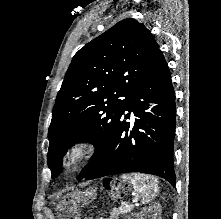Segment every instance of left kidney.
I'll return each mask as SVG.
<instances>
[{"label":"left kidney","instance_id":"left-kidney-1","mask_svg":"<svg viewBox=\"0 0 221 219\" xmlns=\"http://www.w3.org/2000/svg\"><path fill=\"white\" fill-rule=\"evenodd\" d=\"M161 209L159 204L150 206L149 208L141 211L140 213L135 214V219H161L160 217Z\"/></svg>","mask_w":221,"mask_h":219}]
</instances>
